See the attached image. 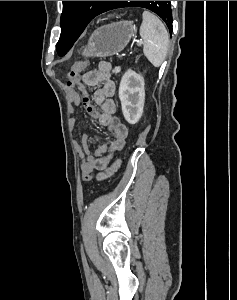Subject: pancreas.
<instances>
[{"label": "pancreas", "instance_id": "cf45deb5", "mask_svg": "<svg viewBox=\"0 0 237 300\" xmlns=\"http://www.w3.org/2000/svg\"><path fill=\"white\" fill-rule=\"evenodd\" d=\"M120 71V67H116V69H114L113 73H119Z\"/></svg>", "mask_w": 237, "mask_h": 300}]
</instances>
